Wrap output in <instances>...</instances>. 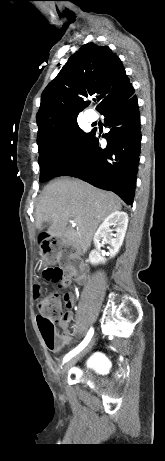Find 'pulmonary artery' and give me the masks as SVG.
Listing matches in <instances>:
<instances>
[{"label": "pulmonary artery", "mask_w": 165, "mask_h": 461, "mask_svg": "<svg viewBox=\"0 0 165 461\" xmlns=\"http://www.w3.org/2000/svg\"><path fill=\"white\" fill-rule=\"evenodd\" d=\"M96 114L95 113H85V119L88 122H94L96 120Z\"/></svg>", "instance_id": "1"}]
</instances>
